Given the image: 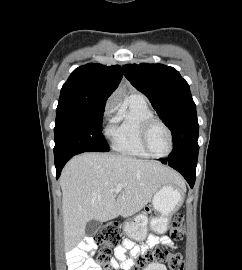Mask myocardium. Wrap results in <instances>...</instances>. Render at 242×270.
Returning a JSON list of instances; mask_svg holds the SVG:
<instances>
[{"instance_id": "myocardium-1", "label": "myocardium", "mask_w": 242, "mask_h": 270, "mask_svg": "<svg viewBox=\"0 0 242 270\" xmlns=\"http://www.w3.org/2000/svg\"><path fill=\"white\" fill-rule=\"evenodd\" d=\"M154 124L161 125L167 131L168 136H169V150L164 155H156L155 153H153L148 144V135H149L150 129L152 128ZM140 140H141V144L144 150L149 154V156L153 158H158V159L166 158L173 152V149H174V138H173L172 130L163 120L155 116H152L144 121L141 128Z\"/></svg>"}]
</instances>
